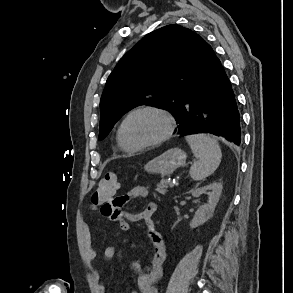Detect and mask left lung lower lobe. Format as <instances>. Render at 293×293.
I'll return each instance as SVG.
<instances>
[{
	"mask_svg": "<svg viewBox=\"0 0 293 293\" xmlns=\"http://www.w3.org/2000/svg\"><path fill=\"white\" fill-rule=\"evenodd\" d=\"M176 132L210 133L239 145L240 116L230 81L215 53L204 80L182 101Z\"/></svg>",
	"mask_w": 293,
	"mask_h": 293,
	"instance_id": "left-lung-lower-lobe-1",
	"label": "left lung lower lobe"
}]
</instances>
